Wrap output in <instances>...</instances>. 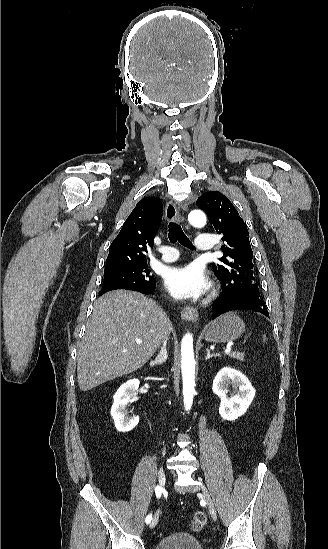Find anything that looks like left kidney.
Segmentation results:
<instances>
[{"label": "left kidney", "mask_w": 328, "mask_h": 549, "mask_svg": "<svg viewBox=\"0 0 328 549\" xmlns=\"http://www.w3.org/2000/svg\"><path fill=\"white\" fill-rule=\"evenodd\" d=\"M228 385L238 387L239 391H235L236 395L227 397ZM212 389L213 393L220 397L219 415L225 421H235L244 415L255 397V389L247 377L231 367H223L217 373Z\"/></svg>", "instance_id": "5707ae66"}]
</instances>
